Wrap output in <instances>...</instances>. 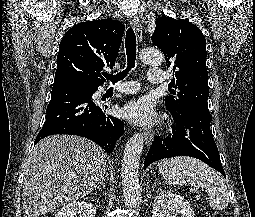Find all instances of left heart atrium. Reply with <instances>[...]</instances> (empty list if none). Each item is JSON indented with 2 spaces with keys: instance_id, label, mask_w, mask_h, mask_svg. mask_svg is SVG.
Here are the masks:
<instances>
[{
  "instance_id": "left-heart-atrium-1",
  "label": "left heart atrium",
  "mask_w": 255,
  "mask_h": 217,
  "mask_svg": "<svg viewBox=\"0 0 255 217\" xmlns=\"http://www.w3.org/2000/svg\"><path fill=\"white\" fill-rule=\"evenodd\" d=\"M122 115L133 124L146 125L156 119L157 113L152 101L141 97L126 104Z\"/></svg>"
}]
</instances>
